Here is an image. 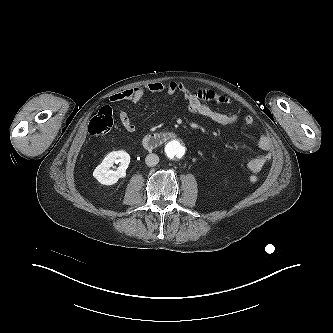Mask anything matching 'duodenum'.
I'll return each instance as SVG.
<instances>
[{"label": "duodenum", "instance_id": "duodenum-1", "mask_svg": "<svg viewBox=\"0 0 333 333\" xmlns=\"http://www.w3.org/2000/svg\"><path fill=\"white\" fill-rule=\"evenodd\" d=\"M172 137V133L169 132H159V133H151L146 135L143 138V146L146 149H154L161 144H163L165 141L170 139Z\"/></svg>", "mask_w": 333, "mask_h": 333}]
</instances>
